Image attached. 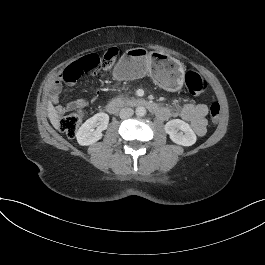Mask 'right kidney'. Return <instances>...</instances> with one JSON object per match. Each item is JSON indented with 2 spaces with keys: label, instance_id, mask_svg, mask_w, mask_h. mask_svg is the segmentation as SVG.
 <instances>
[{
  "label": "right kidney",
  "instance_id": "right-kidney-1",
  "mask_svg": "<svg viewBox=\"0 0 265 265\" xmlns=\"http://www.w3.org/2000/svg\"><path fill=\"white\" fill-rule=\"evenodd\" d=\"M109 116L106 113H97L86 120L79 128L76 138L80 145H91L102 138V131L107 129Z\"/></svg>",
  "mask_w": 265,
  "mask_h": 265
}]
</instances>
